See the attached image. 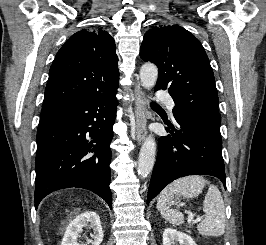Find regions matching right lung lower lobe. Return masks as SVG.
Returning a JSON list of instances; mask_svg holds the SVG:
<instances>
[{"mask_svg":"<svg viewBox=\"0 0 266 245\" xmlns=\"http://www.w3.org/2000/svg\"><path fill=\"white\" fill-rule=\"evenodd\" d=\"M116 92L73 101L42 117L37 130L35 207L53 191H93L112 209L110 184Z\"/></svg>","mask_w":266,"mask_h":245,"instance_id":"obj_1","label":"right lung lower lobe"}]
</instances>
